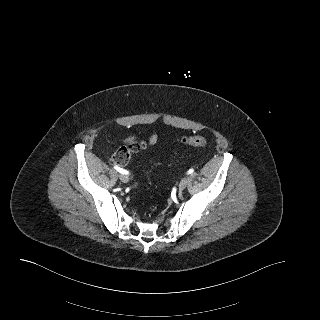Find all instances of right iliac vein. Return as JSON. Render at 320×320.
<instances>
[{
	"label": "right iliac vein",
	"mask_w": 320,
	"mask_h": 320,
	"mask_svg": "<svg viewBox=\"0 0 320 320\" xmlns=\"http://www.w3.org/2000/svg\"><path fill=\"white\" fill-rule=\"evenodd\" d=\"M119 178L123 183H127L129 181V177L126 174L119 175Z\"/></svg>",
	"instance_id": "1"
}]
</instances>
